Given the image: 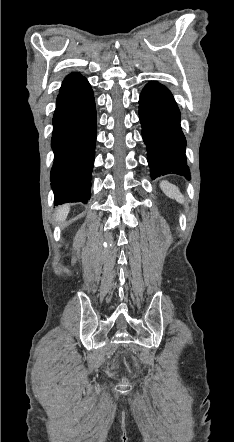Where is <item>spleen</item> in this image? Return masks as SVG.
<instances>
[{"instance_id": "spleen-1", "label": "spleen", "mask_w": 234, "mask_h": 442, "mask_svg": "<svg viewBox=\"0 0 234 442\" xmlns=\"http://www.w3.org/2000/svg\"><path fill=\"white\" fill-rule=\"evenodd\" d=\"M160 187L163 192L171 199H175L177 202L183 204L185 199L183 195L180 193L177 186L169 183L168 181H162L160 183Z\"/></svg>"}]
</instances>
